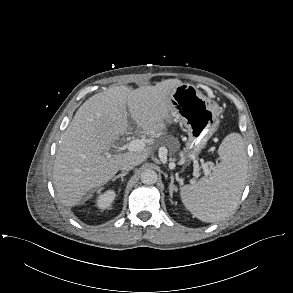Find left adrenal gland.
Returning a JSON list of instances; mask_svg holds the SVG:
<instances>
[{"mask_svg":"<svg viewBox=\"0 0 293 293\" xmlns=\"http://www.w3.org/2000/svg\"><path fill=\"white\" fill-rule=\"evenodd\" d=\"M171 182L169 184V192H170V197L172 198L173 192H177V187L174 185V177L171 176Z\"/></svg>","mask_w":293,"mask_h":293,"instance_id":"a2214340","label":"left adrenal gland"}]
</instances>
